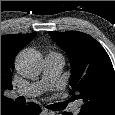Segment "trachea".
I'll use <instances>...</instances> for the list:
<instances>
[{
    "mask_svg": "<svg viewBox=\"0 0 115 115\" xmlns=\"http://www.w3.org/2000/svg\"><path fill=\"white\" fill-rule=\"evenodd\" d=\"M66 105H67V102H65V103H56V104L47 106V108L50 109V110L59 111V110L65 109Z\"/></svg>",
    "mask_w": 115,
    "mask_h": 115,
    "instance_id": "1",
    "label": "trachea"
}]
</instances>
